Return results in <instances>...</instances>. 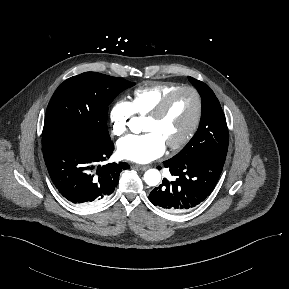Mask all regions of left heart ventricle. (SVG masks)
Instances as JSON below:
<instances>
[{"instance_id": "left-heart-ventricle-1", "label": "left heart ventricle", "mask_w": 289, "mask_h": 289, "mask_svg": "<svg viewBox=\"0 0 289 289\" xmlns=\"http://www.w3.org/2000/svg\"><path fill=\"white\" fill-rule=\"evenodd\" d=\"M196 112V99L189 91L177 94L166 113L158 120L146 118L145 132L156 133L165 145L174 143L190 128Z\"/></svg>"}]
</instances>
